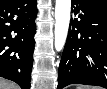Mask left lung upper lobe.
I'll list each match as a JSON object with an SVG mask.
<instances>
[{
	"instance_id": "obj_1",
	"label": "left lung upper lobe",
	"mask_w": 107,
	"mask_h": 89,
	"mask_svg": "<svg viewBox=\"0 0 107 89\" xmlns=\"http://www.w3.org/2000/svg\"><path fill=\"white\" fill-rule=\"evenodd\" d=\"M87 1L107 6V0H87Z\"/></svg>"
}]
</instances>
